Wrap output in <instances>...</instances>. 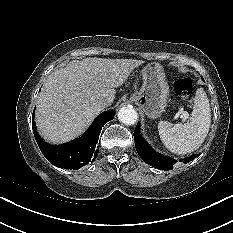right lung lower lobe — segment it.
<instances>
[{
	"label": "right lung lower lobe",
	"instance_id": "1",
	"mask_svg": "<svg viewBox=\"0 0 233 233\" xmlns=\"http://www.w3.org/2000/svg\"><path fill=\"white\" fill-rule=\"evenodd\" d=\"M113 116V110L101 113L82 137L57 146L47 144L41 139L34 121H32V129L41 152L51 164L59 168L77 170L89 162H94L99 152L96 144L102 126L112 120ZM32 120H34V113Z\"/></svg>",
	"mask_w": 233,
	"mask_h": 233
}]
</instances>
